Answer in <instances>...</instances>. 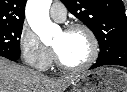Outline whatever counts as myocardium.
Instances as JSON below:
<instances>
[{
	"label": "myocardium",
	"instance_id": "f54148a6",
	"mask_svg": "<svg viewBox=\"0 0 127 92\" xmlns=\"http://www.w3.org/2000/svg\"><path fill=\"white\" fill-rule=\"evenodd\" d=\"M75 31H83L88 36L90 45H91V52H90V55L87 58V60L84 63H82L81 65L68 66L61 60L57 51L54 49L55 62H56L57 67L66 73L84 72L85 70L90 68L95 63V61L97 60V58L99 56V50H100L99 41H98L95 33L93 32V30L90 27H88L84 24H79V23L71 24L64 29L65 33H71V32H75Z\"/></svg>",
	"mask_w": 127,
	"mask_h": 92
}]
</instances>
